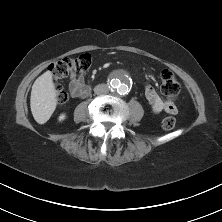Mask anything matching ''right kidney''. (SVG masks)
I'll return each mask as SVG.
<instances>
[{"label":"right kidney","instance_id":"obj_1","mask_svg":"<svg viewBox=\"0 0 222 222\" xmlns=\"http://www.w3.org/2000/svg\"><path fill=\"white\" fill-rule=\"evenodd\" d=\"M65 118H66V114H65V113H62V114H60V116L58 117V120H59V121H63V120H65Z\"/></svg>","mask_w":222,"mask_h":222}]
</instances>
